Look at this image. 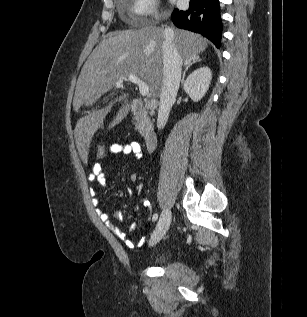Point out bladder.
I'll list each match as a JSON object with an SVG mask.
<instances>
[{"label": "bladder", "instance_id": "obj_1", "mask_svg": "<svg viewBox=\"0 0 307 317\" xmlns=\"http://www.w3.org/2000/svg\"><path fill=\"white\" fill-rule=\"evenodd\" d=\"M169 257L170 254L168 253L159 254L153 258V262L156 264H163L168 261Z\"/></svg>", "mask_w": 307, "mask_h": 317}]
</instances>
